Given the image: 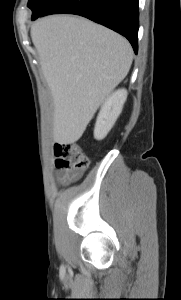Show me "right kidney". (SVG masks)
<instances>
[{"mask_svg":"<svg viewBox=\"0 0 181 300\" xmlns=\"http://www.w3.org/2000/svg\"><path fill=\"white\" fill-rule=\"evenodd\" d=\"M126 99L127 91L125 89H118L106 99L101 107L95 124L94 138L96 140L104 139L112 129L122 112Z\"/></svg>","mask_w":181,"mask_h":300,"instance_id":"ca27d5eb","label":"right kidney"}]
</instances>
